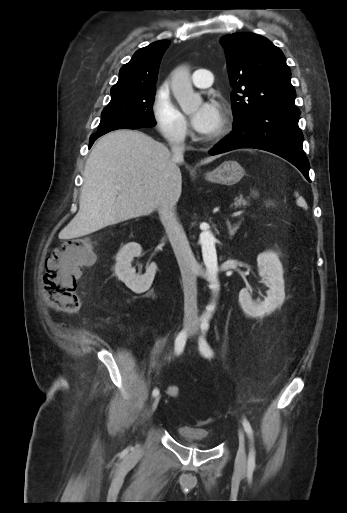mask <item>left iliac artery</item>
Returning <instances> with one entry per match:
<instances>
[{
	"label": "left iliac artery",
	"instance_id": "obj_1",
	"mask_svg": "<svg viewBox=\"0 0 347 513\" xmlns=\"http://www.w3.org/2000/svg\"><path fill=\"white\" fill-rule=\"evenodd\" d=\"M209 328V323L207 321H203L201 323V329L203 335L200 338L199 341V348L202 354L207 357L211 358L213 356V350L211 349L210 345L207 343L205 339V333ZM243 427L245 432L247 433L248 438L250 439V450H249V456H248V468L254 469L255 468V449H254V440H253V430L249 423V421L244 418L243 419Z\"/></svg>",
	"mask_w": 347,
	"mask_h": 513
}]
</instances>
